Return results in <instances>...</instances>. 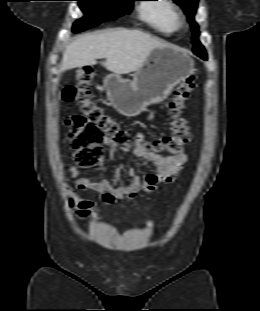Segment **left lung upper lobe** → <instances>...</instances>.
<instances>
[{
  "label": "left lung upper lobe",
  "mask_w": 260,
  "mask_h": 311,
  "mask_svg": "<svg viewBox=\"0 0 260 311\" xmlns=\"http://www.w3.org/2000/svg\"><path fill=\"white\" fill-rule=\"evenodd\" d=\"M178 5H180L184 12L187 14L188 16V20L190 22V24L192 25L193 28V44H194V49L193 51L199 54H205V49L204 47L200 44L199 40H198V26L194 21V15L196 12V8L198 5V0H174Z\"/></svg>",
  "instance_id": "1"
}]
</instances>
